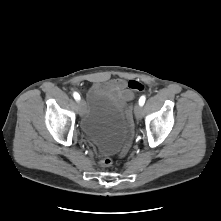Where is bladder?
Returning a JSON list of instances; mask_svg holds the SVG:
<instances>
[{"mask_svg": "<svg viewBox=\"0 0 221 221\" xmlns=\"http://www.w3.org/2000/svg\"><path fill=\"white\" fill-rule=\"evenodd\" d=\"M84 103L81 131L105 154L118 152L128 136L129 112L118 98L93 84Z\"/></svg>", "mask_w": 221, "mask_h": 221, "instance_id": "31cf9c89", "label": "bladder"}]
</instances>
